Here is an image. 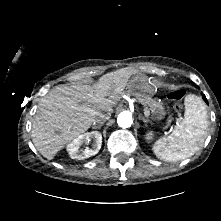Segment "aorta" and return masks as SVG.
<instances>
[{
  "label": "aorta",
  "mask_w": 221,
  "mask_h": 221,
  "mask_svg": "<svg viewBox=\"0 0 221 221\" xmlns=\"http://www.w3.org/2000/svg\"><path fill=\"white\" fill-rule=\"evenodd\" d=\"M117 123L122 128H129L131 127L133 120L132 114L129 111H123L118 115Z\"/></svg>",
  "instance_id": "1"
}]
</instances>
